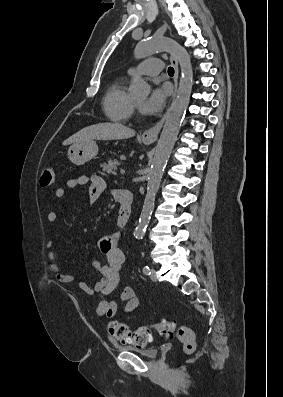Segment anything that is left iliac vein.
Wrapping results in <instances>:
<instances>
[{"instance_id": "1", "label": "left iliac vein", "mask_w": 283, "mask_h": 397, "mask_svg": "<svg viewBox=\"0 0 283 397\" xmlns=\"http://www.w3.org/2000/svg\"><path fill=\"white\" fill-rule=\"evenodd\" d=\"M150 278L154 282L157 281V275H156V271L154 269H151V271H150Z\"/></svg>"}]
</instances>
